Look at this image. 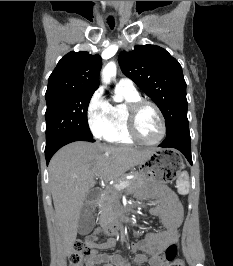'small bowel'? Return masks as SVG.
<instances>
[{
	"label": "small bowel",
	"mask_w": 233,
	"mask_h": 266,
	"mask_svg": "<svg viewBox=\"0 0 233 266\" xmlns=\"http://www.w3.org/2000/svg\"><path fill=\"white\" fill-rule=\"evenodd\" d=\"M151 198L155 201L151 213L160 217L164 229L157 233H148L144 239L133 242L130 246L131 251L139 253L131 262L125 261L119 254L98 252L113 247L114 239L93 242L85 258V266H138L145 262L150 266H169L163 259L162 253L169 245H175L179 239L182 206L176 194L167 187H160Z\"/></svg>",
	"instance_id": "1"
}]
</instances>
